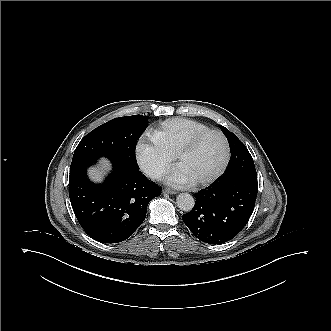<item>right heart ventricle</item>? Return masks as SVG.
<instances>
[{
    "instance_id": "e07e8e85",
    "label": "right heart ventricle",
    "mask_w": 331,
    "mask_h": 331,
    "mask_svg": "<svg viewBox=\"0 0 331 331\" xmlns=\"http://www.w3.org/2000/svg\"><path fill=\"white\" fill-rule=\"evenodd\" d=\"M206 130L209 127L198 120L175 117L160 124L153 141L159 150L175 155L189 139Z\"/></svg>"
}]
</instances>
